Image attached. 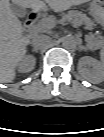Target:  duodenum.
Instances as JSON below:
<instances>
[{
	"mask_svg": "<svg viewBox=\"0 0 104 137\" xmlns=\"http://www.w3.org/2000/svg\"><path fill=\"white\" fill-rule=\"evenodd\" d=\"M35 19H34V13L29 17V19L27 20L26 24L31 26L34 23Z\"/></svg>",
	"mask_w": 104,
	"mask_h": 137,
	"instance_id": "1",
	"label": "duodenum"
}]
</instances>
